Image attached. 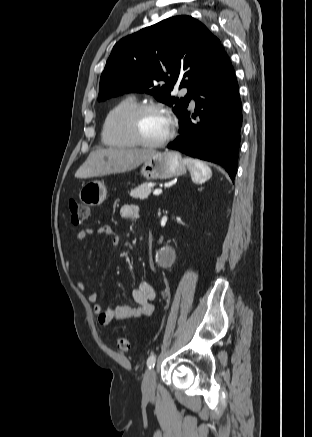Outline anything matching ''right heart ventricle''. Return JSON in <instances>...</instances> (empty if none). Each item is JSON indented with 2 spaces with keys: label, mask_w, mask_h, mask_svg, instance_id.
<instances>
[{
  "label": "right heart ventricle",
  "mask_w": 312,
  "mask_h": 437,
  "mask_svg": "<svg viewBox=\"0 0 312 437\" xmlns=\"http://www.w3.org/2000/svg\"><path fill=\"white\" fill-rule=\"evenodd\" d=\"M138 105L134 97H125L106 114L102 125V140L106 145L131 148L138 144L131 137L128 127L130 112Z\"/></svg>",
  "instance_id": "e07e8e85"
}]
</instances>
